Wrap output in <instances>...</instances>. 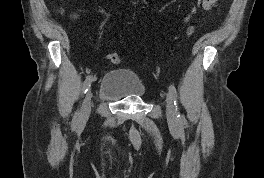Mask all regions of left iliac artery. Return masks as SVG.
Segmentation results:
<instances>
[{
  "label": "left iliac artery",
  "mask_w": 264,
  "mask_h": 178,
  "mask_svg": "<svg viewBox=\"0 0 264 178\" xmlns=\"http://www.w3.org/2000/svg\"><path fill=\"white\" fill-rule=\"evenodd\" d=\"M169 94L174 101V105L176 106V110L178 111L177 91H176V88L174 85L169 86ZM177 118L179 121H182V119H183V116L180 114L179 111L177 112Z\"/></svg>",
  "instance_id": "left-iliac-artery-1"
}]
</instances>
